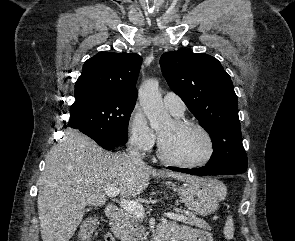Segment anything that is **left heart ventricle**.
Returning <instances> with one entry per match:
<instances>
[{
    "label": "left heart ventricle",
    "mask_w": 295,
    "mask_h": 241,
    "mask_svg": "<svg viewBox=\"0 0 295 241\" xmlns=\"http://www.w3.org/2000/svg\"><path fill=\"white\" fill-rule=\"evenodd\" d=\"M165 153L181 162H196L203 159L208 152L204 136L195 128H179L174 122L159 131Z\"/></svg>",
    "instance_id": "obj_1"
}]
</instances>
